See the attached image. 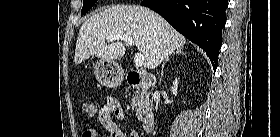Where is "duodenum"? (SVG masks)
<instances>
[{
  "label": "duodenum",
  "mask_w": 280,
  "mask_h": 137,
  "mask_svg": "<svg viewBox=\"0 0 280 137\" xmlns=\"http://www.w3.org/2000/svg\"><path fill=\"white\" fill-rule=\"evenodd\" d=\"M125 81L129 86H154L156 81L154 78L149 77L146 74H143L139 71H130L125 76ZM155 125V117L152 114H148L143 120V129L147 132L153 130Z\"/></svg>",
  "instance_id": "1"
}]
</instances>
